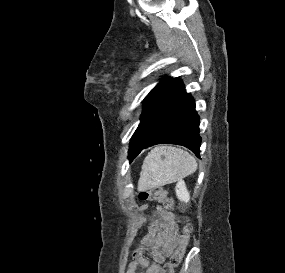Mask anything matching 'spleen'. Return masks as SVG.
<instances>
[{"label":"spleen","mask_w":285,"mask_h":273,"mask_svg":"<svg viewBox=\"0 0 285 273\" xmlns=\"http://www.w3.org/2000/svg\"><path fill=\"white\" fill-rule=\"evenodd\" d=\"M197 170V162L188 152L172 146H158L144 159L139 189L147 190L181 181Z\"/></svg>","instance_id":"1"}]
</instances>
